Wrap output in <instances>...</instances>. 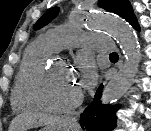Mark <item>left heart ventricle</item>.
Segmentation results:
<instances>
[{"label": "left heart ventricle", "instance_id": "b2bd125f", "mask_svg": "<svg viewBox=\"0 0 151 131\" xmlns=\"http://www.w3.org/2000/svg\"><path fill=\"white\" fill-rule=\"evenodd\" d=\"M43 92L51 103L62 104L75 97L80 92V87L69 67L59 60L46 77Z\"/></svg>", "mask_w": 151, "mask_h": 131}]
</instances>
